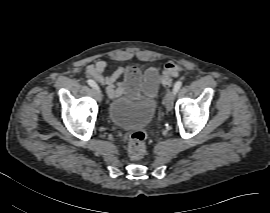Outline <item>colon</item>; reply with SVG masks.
I'll return each mask as SVG.
<instances>
[{
	"label": "colon",
	"instance_id": "obj_1",
	"mask_svg": "<svg viewBox=\"0 0 270 213\" xmlns=\"http://www.w3.org/2000/svg\"><path fill=\"white\" fill-rule=\"evenodd\" d=\"M181 70V66L168 63L164 66L161 74V82L164 86H170L172 84V79L175 77ZM146 130L134 131L129 135L128 140V155L132 160H139L143 158L146 153Z\"/></svg>",
	"mask_w": 270,
	"mask_h": 213
}]
</instances>
